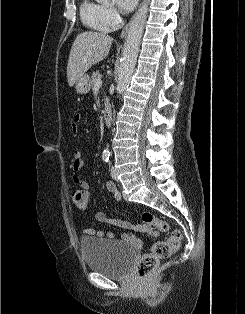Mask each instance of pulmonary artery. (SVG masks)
<instances>
[{
	"label": "pulmonary artery",
	"mask_w": 245,
	"mask_h": 314,
	"mask_svg": "<svg viewBox=\"0 0 245 314\" xmlns=\"http://www.w3.org/2000/svg\"><path fill=\"white\" fill-rule=\"evenodd\" d=\"M112 30H106V32H111Z\"/></svg>",
	"instance_id": "pulmonary-artery-1"
}]
</instances>
